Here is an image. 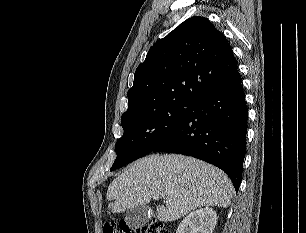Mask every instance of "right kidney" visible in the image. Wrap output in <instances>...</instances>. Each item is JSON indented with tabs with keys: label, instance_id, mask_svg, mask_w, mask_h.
Instances as JSON below:
<instances>
[{
	"label": "right kidney",
	"instance_id": "ca27d5eb",
	"mask_svg": "<svg viewBox=\"0 0 306 233\" xmlns=\"http://www.w3.org/2000/svg\"><path fill=\"white\" fill-rule=\"evenodd\" d=\"M216 220L215 210L201 208L188 214L179 224L176 233H213Z\"/></svg>",
	"mask_w": 306,
	"mask_h": 233
}]
</instances>
